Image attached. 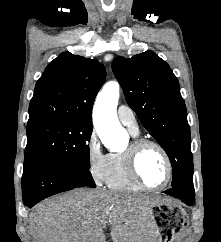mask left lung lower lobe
<instances>
[{"label":"left lung lower lobe","mask_w":221,"mask_h":242,"mask_svg":"<svg viewBox=\"0 0 221 242\" xmlns=\"http://www.w3.org/2000/svg\"><path fill=\"white\" fill-rule=\"evenodd\" d=\"M165 194L181 199L187 205H193L195 202V192L193 180L185 181L171 189L165 191Z\"/></svg>","instance_id":"0a47b994"}]
</instances>
